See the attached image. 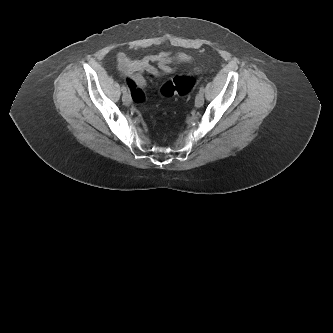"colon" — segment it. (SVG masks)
I'll use <instances>...</instances> for the list:
<instances>
[{
	"instance_id": "obj_1",
	"label": "colon",
	"mask_w": 333,
	"mask_h": 333,
	"mask_svg": "<svg viewBox=\"0 0 333 333\" xmlns=\"http://www.w3.org/2000/svg\"><path fill=\"white\" fill-rule=\"evenodd\" d=\"M199 76H175L173 79L166 81L160 87V94L165 97L174 95L185 96L193 91Z\"/></svg>"
}]
</instances>
